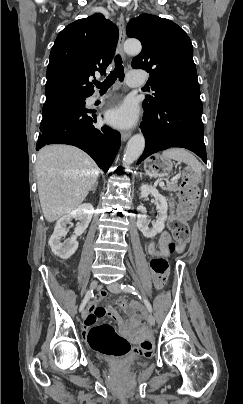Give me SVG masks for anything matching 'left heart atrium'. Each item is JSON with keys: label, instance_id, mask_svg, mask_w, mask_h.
Instances as JSON below:
<instances>
[{"label": "left heart atrium", "instance_id": "obj_1", "mask_svg": "<svg viewBox=\"0 0 243 404\" xmlns=\"http://www.w3.org/2000/svg\"><path fill=\"white\" fill-rule=\"evenodd\" d=\"M106 122L116 128H129L136 121V114L129 104H121L106 112Z\"/></svg>", "mask_w": 243, "mask_h": 404}]
</instances>
